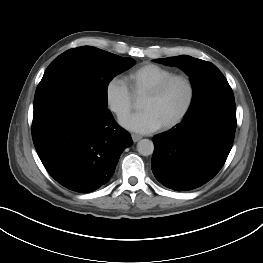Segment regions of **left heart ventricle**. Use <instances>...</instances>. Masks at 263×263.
<instances>
[{"label": "left heart ventricle", "mask_w": 263, "mask_h": 263, "mask_svg": "<svg viewBox=\"0 0 263 263\" xmlns=\"http://www.w3.org/2000/svg\"><path fill=\"white\" fill-rule=\"evenodd\" d=\"M188 95L185 83L181 80L172 82L166 90L157 97L143 96L141 109H150L156 113L165 124L171 120L184 106Z\"/></svg>", "instance_id": "left-heart-ventricle-1"}]
</instances>
